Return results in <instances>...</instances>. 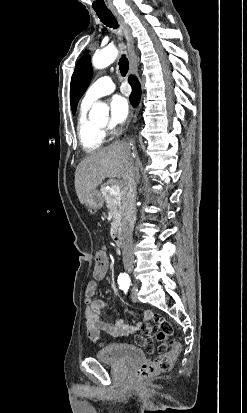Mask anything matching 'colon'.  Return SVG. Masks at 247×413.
<instances>
[{
    "instance_id": "5ec220e1",
    "label": "colon",
    "mask_w": 247,
    "mask_h": 413,
    "mask_svg": "<svg viewBox=\"0 0 247 413\" xmlns=\"http://www.w3.org/2000/svg\"><path fill=\"white\" fill-rule=\"evenodd\" d=\"M109 272V263L105 261V250L97 249L96 254L92 255V277L100 278L101 274H107ZM158 342H165L169 340L170 351L169 353H161L160 357H156L152 363H146L140 366L135 372V381H152L153 374L157 372L170 371L182 345L180 342H173L171 337H167L165 333H158L155 337Z\"/></svg>"
}]
</instances>
